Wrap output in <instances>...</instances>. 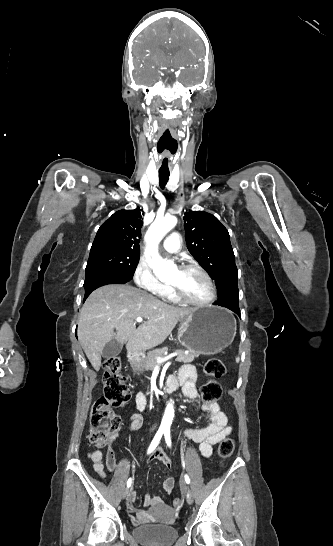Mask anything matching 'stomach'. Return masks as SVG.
Here are the masks:
<instances>
[{
	"instance_id": "0dacf381",
	"label": "stomach",
	"mask_w": 333,
	"mask_h": 546,
	"mask_svg": "<svg viewBox=\"0 0 333 546\" xmlns=\"http://www.w3.org/2000/svg\"><path fill=\"white\" fill-rule=\"evenodd\" d=\"M236 335V320L222 307L196 309L183 319L178 329V341L190 352L215 355L231 345ZM135 371L143 370L142 360L131 362Z\"/></svg>"
}]
</instances>
